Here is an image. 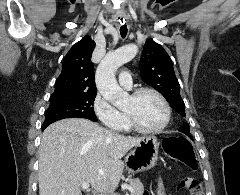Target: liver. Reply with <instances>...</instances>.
<instances>
[{
    "mask_svg": "<svg viewBox=\"0 0 240 195\" xmlns=\"http://www.w3.org/2000/svg\"><path fill=\"white\" fill-rule=\"evenodd\" d=\"M142 139L84 117L51 123L39 145V195H82L83 181L103 195L113 193L122 177L123 155Z\"/></svg>",
    "mask_w": 240,
    "mask_h": 195,
    "instance_id": "6515ba94",
    "label": "liver"
}]
</instances>
